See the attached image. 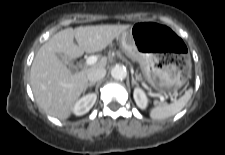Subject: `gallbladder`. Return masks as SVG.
I'll return each instance as SVG.
<instances>
[{
	"mask_svg": "<svg viewBox=\"0 0 225 155\" xmlns=\"http://www.w3.org/2000/svg\"><path fill=\"white\" fill-rule=\"evenodd\" d=\"M58 57L60 60L67 65L69 69L74 68V62L68 58H66L63 54H58Z\"/></svg>",
	"mask_w": 225,
	"mask_h": 155,
	"instance_id": "1",
	"label": "gallbladder"
}]
</instances>
